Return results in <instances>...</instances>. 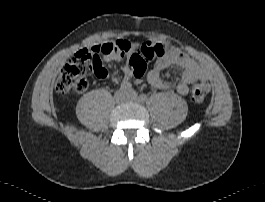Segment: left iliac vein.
<instances>
[{"mask_svg": "<svg viewBox=\"0 0 265 202\" xmlns=\"http://www.w3.org/2000/svg\"><path fill=\"white\" fill-rule=\"evenodd\" d=\"M126 94H127L128 101L136 102V103L140 102V99L135 91L129 90Z\"/></svg>", "mask_w": 265, "mask_h": 202, "instance_id": "4c4485c4", "label": "left iliac vein"}]
</instances>
